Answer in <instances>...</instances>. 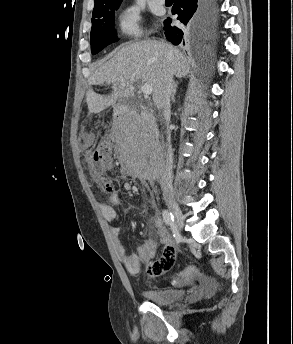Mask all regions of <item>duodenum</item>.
<instances>
[{"instance_id": "obj_1", "label": "duodenum", "mask_w": 293, "mask_h": 344, "mask_svg": "<svg viewBox=\"0 0 293 344\" xmlns=\"http://www.w3.org/2000/svg\"><path fill=\"white\" fill-rule=\"evenodd\" d=\"M116 112H117V117H118L119 121L136 122L138 120V118L140 117L146 125H148L150 127H152L154 125L153 118L146 112H142L139 116H137V115L125 112L123 110V108H121V107H117Z\"/></svg>"}]
</instances>
